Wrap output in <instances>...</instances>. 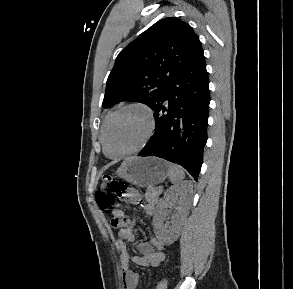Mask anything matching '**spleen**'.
Masks as SVG:
<instances>
[{
    "label": "spleen",
    "mask_w": 293,
    "mask_h": 289,
    "mask_svg": "<svg viewBox=\"0 0 293 289\" xmlns=\"http://www.w3.org/2000/svg\"><path fill=\"white\" fill-rule=\"evenodd\" d=\"M168 176L170 181L175 184L181 182L185 178V173L180 166L168 163Z\"/></svg>",
    "instance_id": "3e777b00"
}]
</instances>
